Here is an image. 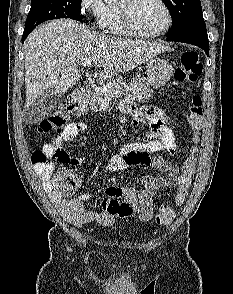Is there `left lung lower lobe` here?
<instances>
[{
  "label": "left lung lower lobe",
  "mask_w": 233,
  "mask_h": 294,
  "mask_svg": "<svg viewBox=\"0 0 233 294\" xmlns=\"http://www.w3.org/2000/svg\"><path fill=\"white\" fill-rule=\"evenodd\" d=\"M167 40L196 45L200 47L201 49H203L205 53L207 54V56L209 55V42H208L207 34L187 33V34H182L176 37L167 36Z\"/></svg>",
  "instance_id": "left-lung-lower-lobe-1"
}]
</instances>
